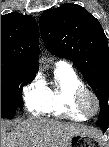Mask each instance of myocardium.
<instances>
[{
  "label": "myocardium",
  "mask_w": 109,
  "mask_h": 147,
  "mask_svg": "<svg viewBox=\"0 0 109 147\" xmlns=\"http://www.w3.org/2000/svg\"><path fill=\"white\" fill-rule=\"evenodd\" d=\"M86 96H92L96 102V110L94 113H89L84 106V99ZM74 105L75 108L82 113L83 115L87 116V117H92L94 115H96L99 110H100V99L97 96V94L93 91L90 90L88 88H83L81 89L75 96L74 98Z\"/></svg>",
  "instance_id": "obj_1"
}]
</instances>
